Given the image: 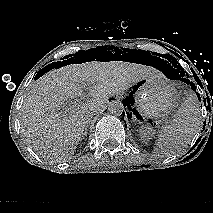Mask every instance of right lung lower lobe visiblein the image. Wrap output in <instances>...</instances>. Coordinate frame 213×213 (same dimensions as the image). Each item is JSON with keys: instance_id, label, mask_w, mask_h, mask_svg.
Instances as JSON below:
<instances>
[{"instance_id": "right-lung-lower-lobe-1", "label": "right lung lower lobe", "mask_w": 213, "mask_h": 213, "mask_svg": "<svg viewBox=\"0 0 213 213\" xmlns=\"http://www.w3.org/2000/svg\"><path fill=\"white\" fill-rule=\"evenodd\" d=\"M61 62H54L52 64H50L49 66L43 68L42 70H40L37 75L35 76V79H38L40 76H42L46 71L52 69L53 67L57 66L58 64H60ZM47 69V70H46Z\"/></svg>"}]
</instances>
